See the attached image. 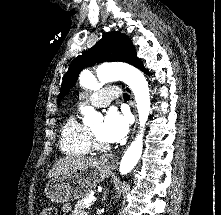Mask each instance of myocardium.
<instances>
[{
    "instance_id": "myocardium-1",
    "label": "myocardium",
    "mask_w": 221,
    "mask_h": 215,
    "mask_svg": "<svg viewBox=\"0 0 221 215\" xmlns=\"http://www.w3.org/2000/svg\"><path fill=\"white\" fill-rule=\"evenodd\" d=\"M89 135H90L91 147L93 149L99 151H104L108 149V145H106L103 141H101L91 129H89Z\"/></svg>"
}]
</instances>
